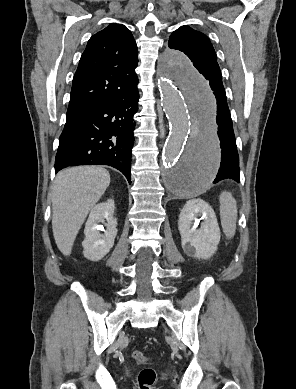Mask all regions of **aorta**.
Instances as JSON below:
<instances>
[{
  "label": "aorta",
  "instance_id": "1",
  "mask_svg": "<svg viewBox=\"0 0 296 389\" xmlns=\"http://www.w3.org/2000/svg\"><path fill=\"white\" fill-rule=\"evenodd\" d=\"M158 70L161 104L170 124L162 153L165 187L194 197L209 189L220 165L216 93L180 51L166 50Z\"/></svg>",
  "mask_w": 296,
  "mask_h": 389
}]
</instances>
